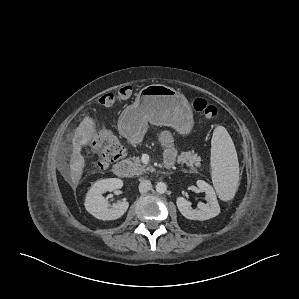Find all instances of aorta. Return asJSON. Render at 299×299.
Here are the masks:
<instances>
[{
	"instance_id": "1",
	"label": "aorta",
	"mask_w": 299,
	"mask_h": 299,
	"mask_svg": "<svg viewBox=\"0 0 299 299\" xmlns=\"http://www.w3.org/2000/svg\"><path fill=\"white\" fill-rule=\"evenodd\" d=\"M167 190V186L164 182H158L156 185V191L160 194L165 193Z\"/></svg>"
}]
</instances>
